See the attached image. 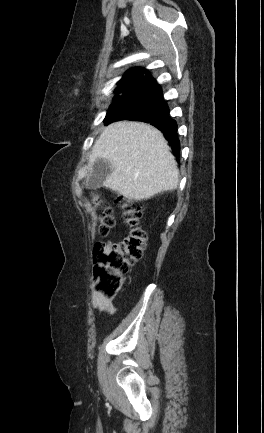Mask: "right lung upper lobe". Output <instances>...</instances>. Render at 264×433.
<instances>
[{"label": "right lung upper lobe", "instance_id": "obj_1", "mask_svg": "<svg viewBox=\"0 0 264 433\" xmlns=\"http://www.w3.org/2000/svg\"><path fill=\"white\" fill-rule=\"evenodd\" d=\"M151 79L150 74L144 68L129 69L118 82L119 86L116 88L115 92L125 94L129 91L142 89ZM115 97L119 96L117 95Z\"/></svg>", "mask_w": 264, "mask_h": 433}]
</instances>
